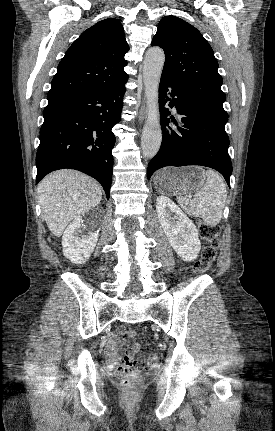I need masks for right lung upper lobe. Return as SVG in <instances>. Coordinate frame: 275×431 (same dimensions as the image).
<instances>
[{
  "label": "right lung upper lobe",
  "instance_id": "1",
  "mask_svg": "<svg viewBox=\"0 0 275 431\" xmlns=\"http://www.w3.org/2000/svg\"><path fill=\"white\" fill-rule=\"evenodd\" d=\"M128 50L119 20L108 18L96 23L73 42L60 61L48 102L107 90L124 82Z\"/></svg>",
  "mask_w": 275,
  "mask_h": 431
}]
</instances>
